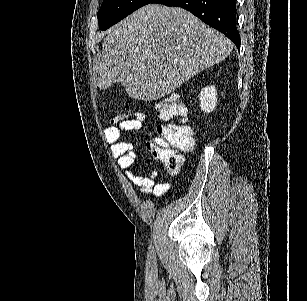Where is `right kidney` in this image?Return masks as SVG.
Here are the masks:
<instances>
[{"instance_id":"right-kidney-1","label":"right kidney","mask_w":307,"mask_h":301,"mask_svg":"<svg viewBox=\"0 0 307 301\" xmlns=\"http://www.w3.org/2000/svg\"><path fill=\"white\" fill-rule=\"evenodd\" d=\"M199 100V106L201 110H203V112H206V114H209V112H213L218 102L217 88L215 84H208V86H204V88H201Z\"/></svg>"}]
</instances>
